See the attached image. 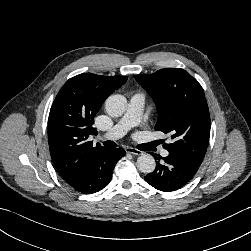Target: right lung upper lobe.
Listing matches in <instances>:
<instances>
[{"label":"right lung upper lobe","mask_w":251,"mask_h":251,"mask_svg":"<svg viewBox=\"0 0 251 251\" xmlns=\"http://www.w3.org/2000/svg\"><path fill=\"white\" fill-rule=\"evenodd\" d=\"M127 81L126 76L83 73L70 78L58 92L50 109L48 143L52 161L66 180L96 147L88 140L96 132L94 117L105 99Z\"/></svg>","instance_id":"cb5924a9"}]
</instances>
